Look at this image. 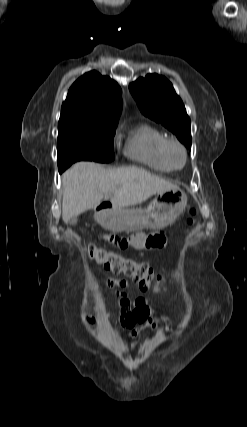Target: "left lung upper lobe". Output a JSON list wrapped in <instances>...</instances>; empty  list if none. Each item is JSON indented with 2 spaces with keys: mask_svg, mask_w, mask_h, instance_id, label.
I'll return each instance as SVG.
<instances>
[{
  "mask_svg": "<svg viewBox=\"0 0 247 427\" xmlns=\"http://www.w3.org/2000/svg\"><path fill=\"white\" fill-rule=\"evenodd\" d=\"M129 87L141 112L164 125L191 149L190 118L173 85L163 76L148 74Z\"/></svg>",
  "mask_w": 247,
  "mask_h": 427,
  "instance_id": "1",
  "label": "left lung upper lobe"
}]
</instances>
